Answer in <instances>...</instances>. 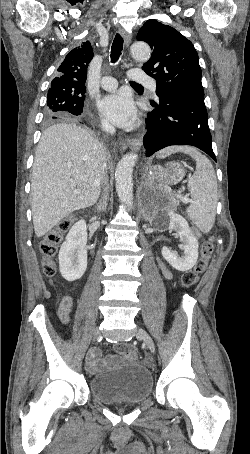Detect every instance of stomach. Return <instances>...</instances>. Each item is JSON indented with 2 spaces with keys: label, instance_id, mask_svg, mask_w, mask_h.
<instances>
[{
  "label": "stomach",
  "instance_id": "1",
  "mask_svg": "<svg viewBox=\"0 0 250 454\" xmlns=\"http://www.w3.org/2000/svg\"><path fill=\"white\" fill-rule=\"evenodd\" d=\"M184 176V170L178 163H170L167 168H159L155 172V178L166 184H173L180 181Z\"/></svg>",
  "mask_w": 250,
  "mask_h": 454
}]
</instances>
